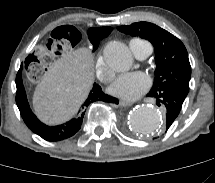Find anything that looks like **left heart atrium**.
Instances as JSON below:
<instances>
[{
	"instance_id": "obj_1",
	"label": "left heart atrium",
	"mask_w": 215,
	"mask_h": 183,
	"mask_svg": "<svg viewBox=\"0 0 215 183\" xmlns=\"http://www.w3.org/2000/svg\"><path fill=\"white\" fill-rule=\"evenodd\" d=\"M150 87L149 77L142 72L125 73L118 76L111 84V94L125 100H136Z\"/></svg>"
}]
</instances>
